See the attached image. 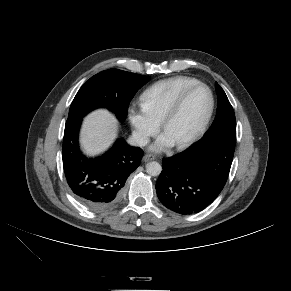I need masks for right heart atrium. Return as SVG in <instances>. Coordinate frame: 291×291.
<instances>
[{"instance_id":"1","label":"right heart atrium","mask_w":291,"mask_h":291,"mask_svg":"<svg viewBox=\"0 0 291 291\" xmlns=\"http://www.w3.org/2000/svg\"><path fill=\"white\" fill-rule=\"evenodd\" d=\"M127 116L133 136L139 145H145L158 132L159 122L154 120L142 106H130Z\"/></svg>"}]
</instances>
